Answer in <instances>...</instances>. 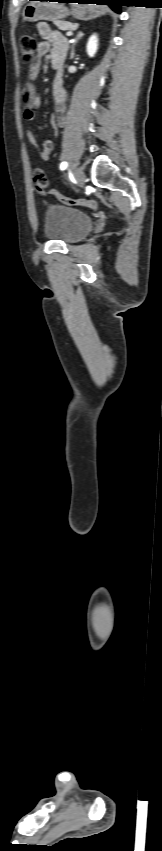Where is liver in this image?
I'll use <instances>...</instances> for the list:
<instances>
[{
	"instance_id": "1",
	"label": "liver",
	"mask_w": 162,
	"mask_h": 851,
	"mask_svg": "<svg viewBox=\"0 0 162 851\" xmlns=\"http://www.w3.org/2000/svg\"><path fill=\"white\" fill-rule=\"evenodd\" d=\"M49 4H57V3H49Z\"/></svg>"
}]
</instances>
